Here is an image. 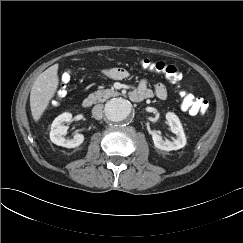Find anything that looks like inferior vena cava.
I'll list each match as a JSON object with an SVG mask.
<instances>
[{
	"label": "inferior vena cava",
	"instance_id": "obj_1",
	"mask_svg": "<svg viewBox=\"0 0 243 243\" xmlns=\"http://www.w3.org/2000/svg\"><path fill=\"white\" fill-rule=\"evenodd\" d=\"M92 115L95 119L100 120L103 116V105L97 104L92 109Z\"/></svg>",
	"mask_w": 243,
	"mask_h": 243
}]
</instances>
